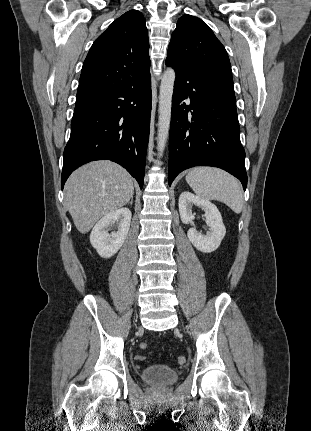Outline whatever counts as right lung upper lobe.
Wrapping results in <instances>:
<instances>
[{
  "label": "right lung upper lobe",
  "instance_id": "right-lung-upper-lobe-1",
  "mask_svg": "<svg viewBox=\"0 0 311 431\" xmlns=\"http://www.w3.org/2000/svg\"><path fill=\"white\" fill-rule=\"evenodd\" d=\"M145 22L141 12L130 10L95 40L82 67L77 96L137 80L149 70Z\"/></svg>",
  "mask_w": 311,
  "mask_h": 431
}]
</instances>
